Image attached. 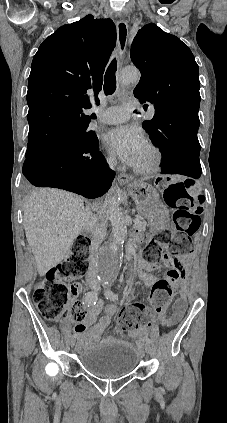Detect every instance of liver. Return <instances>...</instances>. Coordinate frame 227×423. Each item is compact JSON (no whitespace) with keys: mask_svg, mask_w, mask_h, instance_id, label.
Here are the masks:
<instances>
[{"mask_svg":"<svg viewBox=\"0 0 227 423\" xmlns=\"http://www.w3.org/2000/svg\"><path fill=\"white\" fill-rule=\"evenodd\" d=\"M23 225L39 275L60 263L79 233L90 229L82 198L55 188H39L26 196Z\"/></svg>","mask_w":227,"mask_h":423,"instance_id":"6515ba94","label":"liver"}]
</instances>
